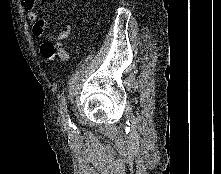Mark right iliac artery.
<instances>
[{"instance_id":"obj_1","label":"right iliac artery","mask_w":221,"mask_h":174,"mask_svg":"<svg viewBox=\"0 0 221 174\" xmlns=\"http://www.w3.org/2000/svg\"><path fill=\"white\" fill-rule=\"evenodd\" d=\"M65 97H63L61 105H60V114H61V119L62 123L64 124L65 127H73V124L71 123L70 117L67 114V105L65 101Z\"/></svg>"}]
</instances>
